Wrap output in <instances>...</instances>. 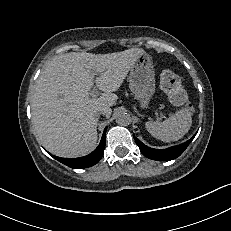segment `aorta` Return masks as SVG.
<instances>
[{"mask_svg": "<svg viewBox=\"0 0 231 231\" xmlns=\"http://www.w3.org/2000/svg\"><path fill=\"white\" fill-rule=\"evenodd\" d=\"M131 122L132 118L127 112L122 111L116 115V123L120 126H128Z\"/></svg>", "mask_w": 231, "mask_h": 231, "instance_id": "aorta-1", "label": "aorta"}]
</instances>
